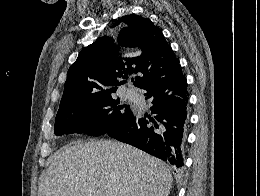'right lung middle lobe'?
Returning <instances> with one entry per match:
<instances>
[{
    "instance_id": "right-lung-middle-lobe-1",
    "label": "right lung middle lobe",
    "mask_w": 260,
    "mask_h": 196,
    "mask_svg": "<svg viewBox=\"0 0 260 196\" xmlns=\"http://www.w3.org/2000/svg\"><path fill=\"white\" fill-rule=\"evenodd\" d=\"M114 93H99L83 98L59 110L55 119V135L85 133L106 134L136 116L129 107L119 105Z\"/></svg>"
}]
</instances>
